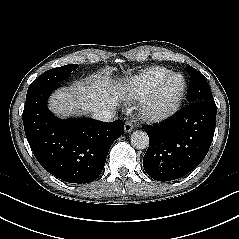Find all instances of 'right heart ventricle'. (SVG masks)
<instances>
[{"label": "right heart ventricle", "mask_w": 239, "mask_h": 239, "mask_svg": "<svg viewBox=\"0 0 239 239\" xmlns=\"http://www.w3.org/2000/svg\"><path fill=\"white\" fill-rule=\"evenodd\" d=\"M170 74V70L154 66L127 78L123 83V90L131 100H140L151 87L163 77Z\"/></svg>", "instance_id": "1"}]
</instances>
